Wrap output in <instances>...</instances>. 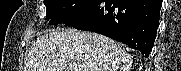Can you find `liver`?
<instances>
[{
    "label": "liver",
    "instance_id": "1",
    "mask_svg": "<svg viewBox=\"0 0 181 71\" xmlns=\"http://www.w3.org/2000/svg\"><path fill=\"white\" fill-rule=\"evenodd\" d=\"M131 66L130 55L114 40L59 28L34 41L25 71H130Z\"/></svg>",
    "mask_w": 181,
    "mask_h": 71
}]
</instances>
